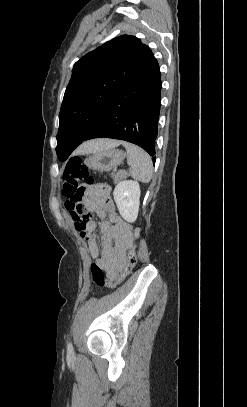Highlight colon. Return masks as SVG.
<instances>
[{
    "label": "colon",
    "mask_w": 247,
    "mask_h": 407,
    "mask_svg": "<svg viewBox=\"0 0 247 407\" xmlns=\"http://www.w3.org/2000/svg\"><path fill=\"white\" fill-rule=\"evenodd\" d=\"M93 179L90 177L88 169L83 164L81 158L74 157L66 164L63 173V186L62 193L67 197L72 203L77 204L82 200L85 192V184L91 185ZM135 238L139 236V229L136 227L132 228ZM136 264V252L135 247H132L128 253V260L126 262L124 270L115 279L110 280L103 273L102 269L98 264L93 263L90 267L91 280L94 284L99 287L113 288L122 281H124L132 272Z\"/></svg>",
    "instance_id": "5ec220e1"
}]
</instances>
